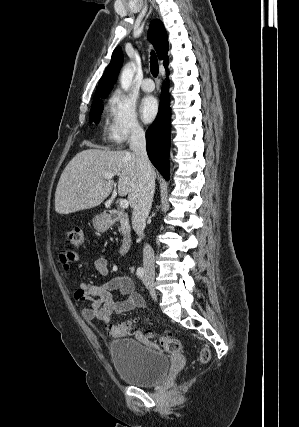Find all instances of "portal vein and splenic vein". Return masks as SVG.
Wrapping results in <instances>:
<instances>
[{
	"instance_id": "1",
	"label": "portal vein and splenic vein",
	"mask_w": 299,
	"mask_h": 427,
	"mask_svg": "<svg viewBox=\"0 0 299 427\" xmlns=\"http://www.w3.org/2000/svg\"><path fill=\"white\" fill-rule=\"evenodd\" d=\"M112 177H113V174H111V173H105L104 174V178L105 179H111ZM119 205H120L121 208L125 209V208H128L129 202L126 199H121L119 201Z\"/></svg>"
}]
</instances>
